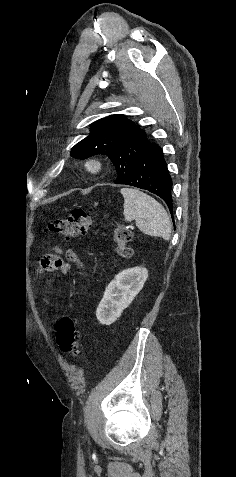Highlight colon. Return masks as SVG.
Returning <instances> with one entry per match:
<instances>
[{
	"instance_id": "1",
	"label": "colon",
	"mask_w": 236,
	"mask_h": 477,
	"mask_svg": "<svg viewBox=\"0 0 236 477\" xmlns=\"http://www.w3.org/2000/svg\"><path fill=\"white\" fill-rule=\"evenodd\" d=\"M94 223L92 215L84 209H74L64 217L53 220L47 227V231L64 236L65 238H75L86 235ZM113 238L116 252L121 258H128L132 255L129 247L131 232L123 227L117 226L114 229ZM56 342L59 349L68 355L79 353V331L76 321L69 315L62 316L56 324Z\"/></svg>"
}]
</instances>
